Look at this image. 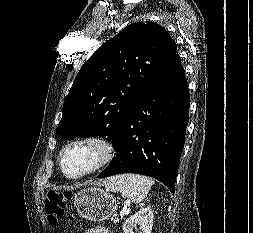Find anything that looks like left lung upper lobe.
Instances as JSON below:
<instances>
[{
  "instance_id": "obj_1",
  "label": "left lung upper lobe",
  "mask_w": 253,
  "mask_h": 233,
  "mask_svg": "<svg viewBox=\"0 0 253 233\" xmlns=\"http://www.w3.org/2000/svg\"><path fill=\"white\" fill-rule=\"evenodd\" d=\"M176 50L169 33L154 22L125 27L82 65L64 102L58 136H101L116 143L123 122Z\"/></svg>"
}]
</instances>
